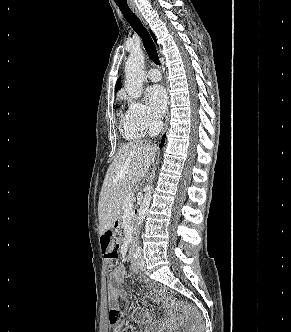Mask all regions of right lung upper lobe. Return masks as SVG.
Instances as JSON below:
<instances>
[{"instance_id": "cb5924a9", "label": "right lung upper lobe", "mask_w": 291, "mask_h": 332, "mask_svg": "<svg viewBox=\"0 0 291 332\" xmlns=\"http://www.w3.org/2000/svg\"><path fill=\"white\" fill-rule=\"evenodd\" d=\"M151 35H152L153 39L156 41V37L152 32H151ZM120 87H121V80L119 79L116 83L115 91H117Z\"/></svg>"}]
</instances>
